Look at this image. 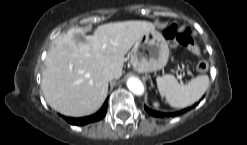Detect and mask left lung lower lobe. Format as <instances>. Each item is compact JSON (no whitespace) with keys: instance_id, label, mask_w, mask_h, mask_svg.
<instances>
[{"instance_id":"left-lung-lower-lobe-1","label":"left lung lower lobe","mask_w":247,"mask_h":145,"mask_svg":"<svg viewBox=\"0 0 247 145\" xmlns=\"http://www.w3.org/2000/svg\"><path fill=\"white\" fill-rule=\"evenodd\" d=\"M197 105V103L196 104H194V107ZM144 108H145V110L150 114V115H152V116H155V117H161V116H165V115H167V116H176L178 113H168V114H163V113H160V112H157V111H153V110H151V109H149L148 107H146V106H144ZM190 109V108H189Z\"/></svg>"}]
</instances>
